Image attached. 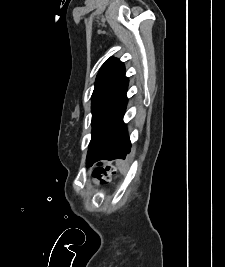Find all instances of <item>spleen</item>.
Masks as SVG:
<instances>
[{
	"instance_id": "1",
	"label": "spleen",
	"mask_w": 225,
	"mask_h": 267,
	"mask_svg": "<svg viewBox=\"0 0 225 267\" xmlns=\"http://www.w3.org/2000/svg\"><path fill=\"white\" fill-rule=\"evenodd\" d=\"M117 167L122 174H126L128 171V165L125 161H118Z\"/></svg>"
}]
</instances>
